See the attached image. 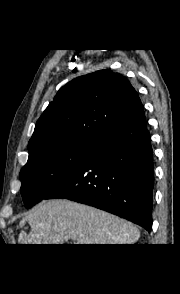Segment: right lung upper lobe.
Wrapping results in <instances>:
<instances>
[{
  "label": "right lung upper lobe",
  "instance_id": "cb5924a9",
  "mask_svg": "<svg viewBox=\"0 0 180 294\" xmlns=\"http://www.w3.org/2000/svg\"><path fill=\"white\" fill-rule=\"evenodd\" d=\"M141 105L135 89L119 73L100 70L78 77L58 91L37 121L29 157L71 140L98 141Z\"/></svg>",
  "mask_w": 180,
  "mask_h": 294
}]
</instances>
